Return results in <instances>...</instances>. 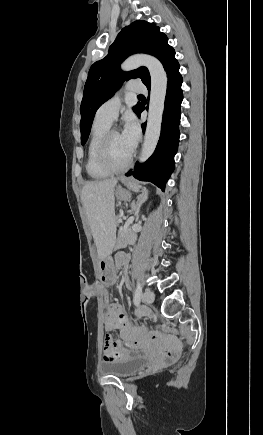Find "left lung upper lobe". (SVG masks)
<instances>
[{
	"mask_svg": "<svg viewBox=\"0 0 263 435\" xmlns=\"http://www.w3.org/2000/svg\"><path fill=\"white\" fill-rule=\"evenodd\" d=\"M167 42V36L160 32L156 24L138 20L124 27L110 46L107 56L91 66L80 107L82 145L88 139L97 109L112 97L124 80L140 78L146 86L150 85L146 67L121 72L120 63L129 55L147 53L158 58L166 70L175 60V50ZM141 107L140 103L133 107L137 115Z\"/></svg>",
	"mask_w": 263,
	"mask_h": 435,
	"instance_id": "left-lung-upper-lobe-1",
	"label": "left lung upper lobe"
}]
</instances>
